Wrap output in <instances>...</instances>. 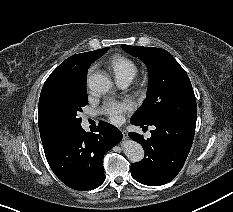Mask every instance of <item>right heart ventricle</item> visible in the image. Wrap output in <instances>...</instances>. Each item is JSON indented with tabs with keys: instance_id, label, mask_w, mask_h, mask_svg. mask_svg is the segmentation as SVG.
<instances>
[{
	"instance_id": "1",
	"label": "right heart ventricle",
	"mask_w": 233,
	"mask_h": 212,
	"mask_svg": "<svg viewBox=\"0 0 233 212\" xmlns=\"http://www.w3.org/2000/svg\"><path fill=\"white\" fill-rule=\"evenodd\" d=\"M108 66L117 81H132L138 72L136 63L132 59L120 54L112 56L109 59Z\"/></svg>"
}]
</instances>
